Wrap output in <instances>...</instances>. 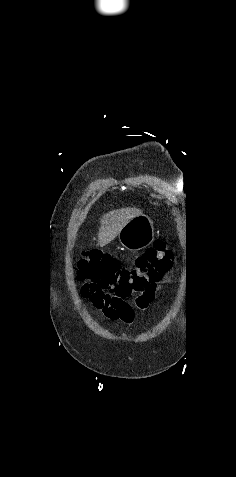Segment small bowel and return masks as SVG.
Segmentation results:
<instances>
[{
  "mask_svg": "<svg viewBox=\"0 0 236 477\" xmlns=\"http://www.w3.org/2000/svg\"><path fill=\"white\" fill-rule=\"evenodd\" d=\"M154 296H155V291L143 295L136 301V307L142 310L147 309L148 306L151 304ZM97 309L102 310L105 316L111 320H121L125 323H131L133 321L132 309H130L128 312L124 314H121L118 310H115L114 308H112L110 305H107V304Z\"/></svg>",
  "mask_w": 236,
  "mask_h": 477,
  "instance_id": "c3829d8e",
  "label": "small bowel"
}]
</instances>
